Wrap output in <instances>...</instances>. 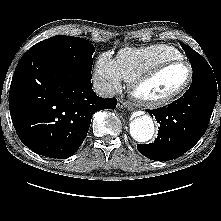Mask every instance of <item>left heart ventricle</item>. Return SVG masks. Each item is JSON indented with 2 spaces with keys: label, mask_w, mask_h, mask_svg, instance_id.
<instances>
[{
  "label": "left heart ventricle",
  "mask_w": 221,
  "mask_h": 221,
  "mask_svg": "<svg viewBox=\"0 0 221 221\" xmlns=\"http://www.w3.org/2000/svg\"><path fill=\"white\" fill-rule=\"evenodd\" d=\"M188 77V69L183 65L172 66L154 80L144 85L141 93L146 97L159 98L179 89Z\"/></svg>",
  "instance_id": "b2bd125f"
}]
</instances>
